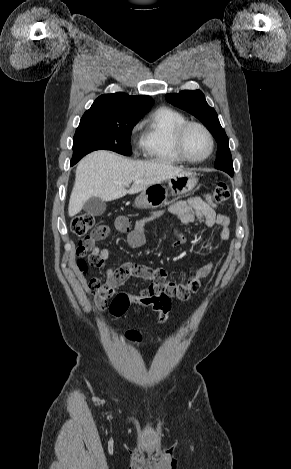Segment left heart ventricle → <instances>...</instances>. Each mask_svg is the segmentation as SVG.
<instances>
[{
	"mask_svg": "<svg viewBox=\"0 0 291 469\" xmlns=\"http://www.w3.org/2000/svg\"><path fill=\"white\" fill-rule=\"evenodd\" d=\"M210 148L206 134L198 127H191L185 136V149L192 158L205 156Z\"/></svg>",
	"mask_w": 291,
	"mask_h": 469,
	"instance_id": "b2bd125f",
	"label": "left heart ventricle"
}]
</instances>
